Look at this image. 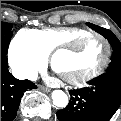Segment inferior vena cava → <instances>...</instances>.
I'll return each instance as SVG.
<instances>
[{"mask_svg": "<svg viewBox=\"0 0 121 121\" xmlns=\"http://www.w3.org/2000/svg\"><path fill=\"white\" fill-rule=\"evenodd\" d=\"M12 73L17 79H29L31 81H36L38 77V73L36 71L13 69Z\"/></svg>", "mask_w": 121, "mask_h": 121, "instance_id": "inferior-vena-cava-1", "label": "inferior vena cava"}]
</instances>
